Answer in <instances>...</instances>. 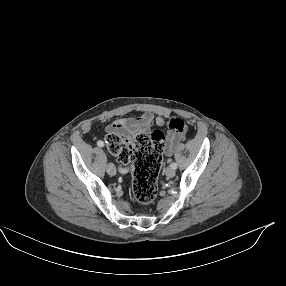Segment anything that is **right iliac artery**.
I'll return each mask as SVG.
<instances>
[{
	"instance_id": "1",
	"label": "right iliac artery",
	"mask_w": 286,
	"mask_h": 286,
	"mask_svg": "<svg viewBox=\"0 0 286 286\" xmlns=\"http://www.w3.org/2000/svg\"><path fill=\"white\" fill-rule=\"evenodd\" d=\"M97 145H98L99 147H103V146H104V142L100 140V141L97 142Z\"/></svg>"
}]
</instances>
